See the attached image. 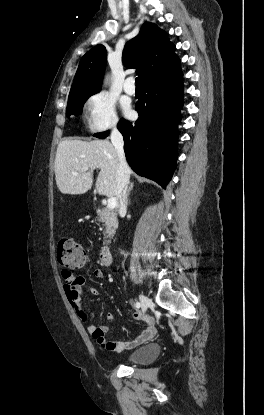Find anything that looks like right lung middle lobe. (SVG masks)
Instances as JSON below:
<instances>
[{"mask_svg": "<svg viewBox=\"0 0 264 415\" xmlns=\"http://www.w3.org/2000/svg\"><path fill=\"white\" fill-rule=\"evenodd\" d=\"M90 95L92 94L69 97L67 109H66L67 117H69L72 114L76 116L81 114L83 105Z\"/></svg>", "mask_w": 264, "mask_h": 415, "instance_id": "dd1d6c3e", "label": "right lung middle lobe"}]
</instances>
